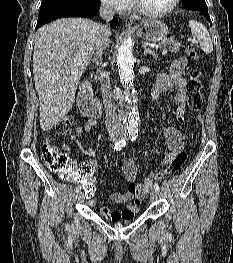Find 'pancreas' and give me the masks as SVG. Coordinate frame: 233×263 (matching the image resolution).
Wrapping results in <instances>:
<instances>
[{"instance_id": "obj_1", "label": "pancreas", "mask_w": 233, "mask_h": 263, "mask_svg": "<svg viewBox=\"0 0 233 263\" xmlns=\"http://www.w3.org/2000/svg\"><path fill=\"white\" fill-rule=\"evenodd\" d=\"M167 46H169L170 51L174 53H177L181 48V44L178 41H176L174 37L166 39L161 43V47L165 48Z\"/></svg>"}]
</instances>
